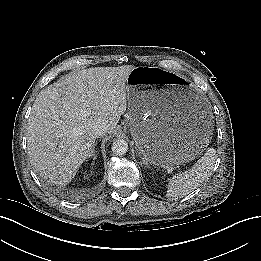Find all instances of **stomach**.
<instances>
[{
    "label": "stomach",
    "instance_id": "obj_1",
    "mask_svg": "<svg viewBox=\"0 0 261 261\" xmlns=\"http://www.w3.org/2000/svg\"><path fill=\"white\" fill-rule=\"evenodd\" d=\"M126 90L131 134L148 163L184 164L208 146L210 114L186 79L155 67H135Z\"/></svg>",
    "mask_w": 261,
    "mask_h": 261
}]
</instances>
